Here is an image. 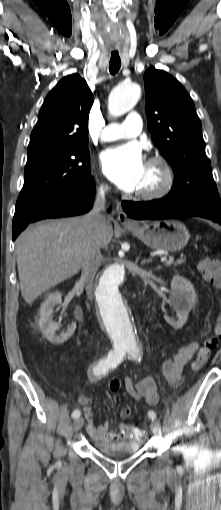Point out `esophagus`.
<instances>
[{
	"mask_svg": "<svg viewBox=\"0 0 221 510\" xmlns=\"http://www.w3.org/2000/svg\"><path fill=\"white\" fill-rule=\"evenodd\" d=\"M118 221L123 224V225H133L135 224V222L133 220H131L125 211L123 210H120L118 212Z\"/></svg>",
	"mask_w": 221,
	"mask_h": 510,
	"instance_id": "obj_1",
	"label": "esophagus"
}]
</instances>
